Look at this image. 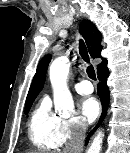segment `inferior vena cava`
<instances>
[{
    "label": "inferior vena cava",
    "mask_w": 130,
    "mask_h": 153,
    "mask_svg": "<svg viewBox=\"0 0 130 153\" xmlns=\"http://www.w3.org/2000/svg\"><path fill=\"white\" fill-rule=\"evenodd\" d=\"M86 124L82 121L78 122L73 130L71 138L65 145L63 153H81L83 149L85 134H86Z\"/></svg>",
    "instance_id": "inferior-vena-cava-1"
}]
</instances>
